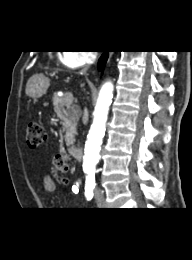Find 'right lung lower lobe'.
<instances>
[{
  "instance_id": "right-lung-lower-lobe-1",
  "label": "right lung lower lobe",
  "mask_w": 192,
  "mask_h": 260,
  "mask_svg": "<svg viewBox=\"0 0 192 260\" xmlns=\"http://www.w3.org/2000/svg\"><path fill=\"white\" fill-rule=\"evenodd\" d=\"M108 59V51H104L103 55L101 56V58L99 59V63H98V69L102 70L107 62Z\"/></svg>"
}]
</instances>
